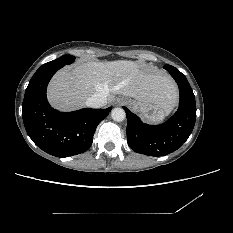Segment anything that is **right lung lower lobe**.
Here are the masks:
<instances>
[{"label": "right lung lower lobe", "instance_id": "obj_1", "mask_svg": "<svg viewBox=\"0 0 233 233\" xmlns=\"http://www.w3.org/2000/svg\"><path fill=\"white\" fill-rule=\"evenodd\" d=\"M60 68L58 65L36 71L25 91L22 116L27 134L40 149L56 157H68L90 148L96 127L112 108L68 113L53 109L46 88Z\"/></svg>", "mask_w": 233, "mask_h": 233}]
</instances>
